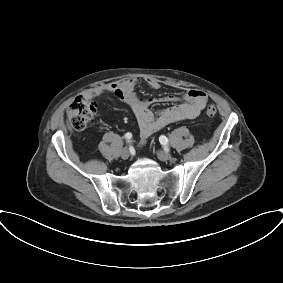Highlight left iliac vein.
Returning <instances> with one entry per match:
<instances>
[{"instance_id": "obj_1", "label": "left iliac vein", "mask_w": 283, "mask_h": 283, "mask_svg": "<svg viewBox=\"0 0 283 283\" xmlns=\"http://www.w3.org/2000/svg\"><path fill=\"white\" fill-rule=\"evenodd\" d=\"M157 157L161 161H167V160L171 159V154L166 152V151L159 150V151H157Z\"/></svg>"}]
</instances>
